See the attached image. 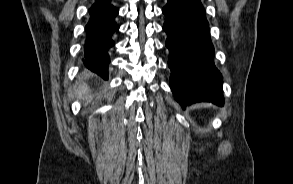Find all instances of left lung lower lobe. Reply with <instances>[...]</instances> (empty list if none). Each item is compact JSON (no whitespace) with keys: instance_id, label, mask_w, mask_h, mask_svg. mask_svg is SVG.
<instances>
[{"instance_id":"obj_1","label":"left lung lower lobe","mask_w":293,"mask_h":184,"mask_svg":"<svg viewBox=\"0 0 293 184\" xmlns=\"http://www.w3.org/2000/svg\"><path fill=\"white\" fill-rule=\"evenodd\" d=\"M162 12L175 99L183 109L201 101L223 105L222 77L214 65V47L200 0H168Z\"/></svg>"}]
</instances>
